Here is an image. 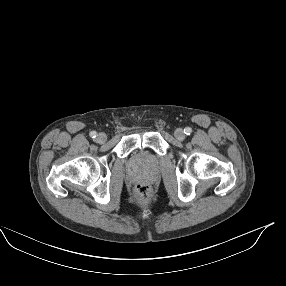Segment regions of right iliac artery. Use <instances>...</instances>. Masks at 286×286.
Instances as JSON below:
<instances>
[{"instance_id": "obj_1", "label": "right iliac artery", "mask_w": 286, "mask_h": 286, "mask_svg": "<svg viewBox=\"0 0 286 286\" xmlns=\"http://www.w3.org/2000/svg\"><path fill=\"white\" fill-rule=\"evenodd\" d=\"M97 133L95 131L90 132V137L91 138H96Z\"/></svg>"}]
</instances>
